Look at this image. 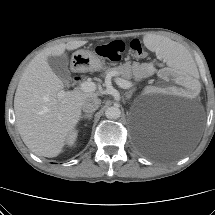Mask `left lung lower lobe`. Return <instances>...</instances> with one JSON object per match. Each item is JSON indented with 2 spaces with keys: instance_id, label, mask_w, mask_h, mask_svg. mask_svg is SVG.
<instances>
[{
  "instance_id": "left-lung-lower-lobe-1",
  "label": "left lung lower lobe",
  "mask_w": 215,
  "mask_h": 215,
  "mask_svg": "<svg viewBox=\"0 0 215 215\" xmlns=\"http://www.w3.org/2000/svg\"><path fill=\"white\" fill-rule=\"evenodd\" d=\"M179 153V150L175 148V146H169L163 150H161V154L166 155V156H172V155H177Z\"/></svg>"
}]
</instances>
